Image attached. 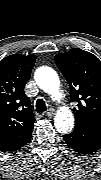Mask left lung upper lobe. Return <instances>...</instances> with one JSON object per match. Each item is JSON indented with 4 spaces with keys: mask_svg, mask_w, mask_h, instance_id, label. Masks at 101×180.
<instances>
[{
    "mask_svg": "<svg viewBox=\"0 0 101 180\" xmlns=\"http://www.w3.org/2000/svg\"><path fill=\"white\" fill-rule=\"evenodd\" d=\"M55 62L70 87L75 103V126L101 132V61L79 48L55 56Z\"/></svg>",
    "mask_w": 101,
    "mask_h": 180,
    "instance_id": "left-lung-upper-lobe-1",
    "label": "left lung upper lobe"
}]
</instances>
